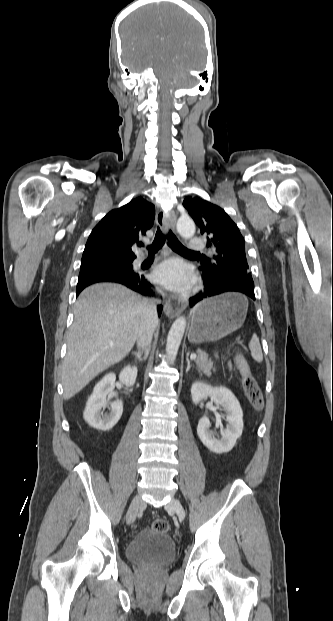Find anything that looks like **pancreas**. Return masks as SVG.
Here are the masks:
<instances>
[{"instance_id": "obj_1", "label": "pancreas", "mask_w": 333, "mask_h": 621, "mask_svg": "<svg viewBox=\"0 0 333 621\" xmlns=\"http://www.w3.org/2000/svg\"><path fill=\"white\" fill-rule=\"evenodd\" d=\"M196 353L198 356L196 358V364L201 372L205 375H210L211 369L215 371V368H213V362L209 359L208 354H206L203 350H197Z\"/></svg>"}]
</instances>
